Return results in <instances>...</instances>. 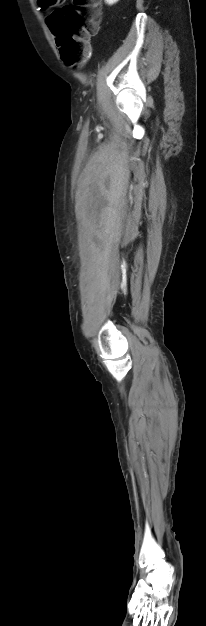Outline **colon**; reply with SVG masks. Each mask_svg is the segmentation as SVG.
Instances as JSON below:
<instances>
[{"label":"colon","instance_id":"colon-1","mask_svg":"<svg viewBox=\"0 0 206 626\" xmlns=\"http://www.w3.org/2000/svg\"><path fill=\"white\" fill-rule=\"evenodd\" d=\"M63 0H41L44 6H58ZM100 0H72L57 8L48 18L49 27L59 47L62 60L77 67L85 59L87 41L97 32L100 22Z\"/></svg>","mask_w":206,"mask_h":626}]
</instances>
